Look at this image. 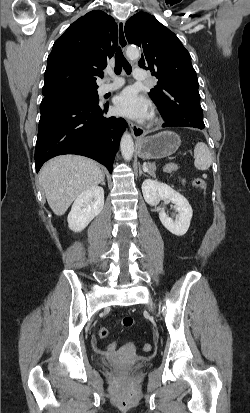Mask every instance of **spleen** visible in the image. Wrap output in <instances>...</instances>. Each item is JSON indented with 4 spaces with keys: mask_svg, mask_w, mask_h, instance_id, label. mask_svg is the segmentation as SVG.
Returning <instances> with one entry per match:
<instances>
[{
    "mask_svg": "<svg viewBox=\"0 0 250 413\" xmlns=\"http://www.w3.org/2000/svg\"><path fill=\"white\" fill-rule=\"evenodd\" d=\"M194 166L197 170H208L212 164V157L208 146L198 142L194 148Z\"/></svg>",
    "mask_w": 250,
    "mask_h": 413,
    "instance_id": "1",
    "label": "spleen"
}]
</instances>
